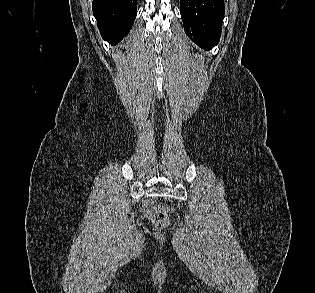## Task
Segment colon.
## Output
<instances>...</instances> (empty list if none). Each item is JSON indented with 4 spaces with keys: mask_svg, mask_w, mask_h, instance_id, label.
<instances>
[{
    "mask_svg": "<svg viewBox=\"0 0 315 293\" xmlns=\"http://www.w3.org/2000/svg\"><path fill=\"white\" fill-rule=\"evenodd\" d=\"M141 208L145 214L152 216V223L156 228L162 229L168 225L169 219L165 210L156 209L150 202L143 203Z\"/></svg>",
    "mask_w": 315,
    "mask_h": 293,
    "instance_id": "5ec220e1",
    "label": "colon"
}]
</instances>
